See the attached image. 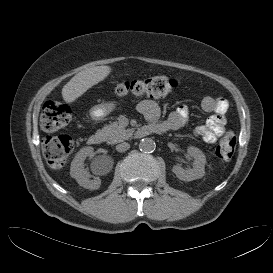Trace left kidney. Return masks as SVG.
<instances>
[{"label": "left kidney", "mask_w": 273, "mask_h": 273, "mask_svg": "<svg viewBox=\"0 0 273 273\" xmlns=\"http://www.w3.org/2000/svg\"><path fill=\"white\" fill-rule=\"evenodd\" d=\"M189 156L194 158L193 168L183 169L180 166H174L173 172L175 175L183 181H192L200 179L205 174L206 158L204 153L197 147L190 146L187 149Z\"/></svg>", "instance_id": "left-kidney-1"}]
</instances>
